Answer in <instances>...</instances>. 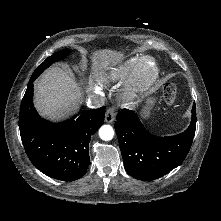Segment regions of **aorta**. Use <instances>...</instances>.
I'll use <instances>...</instances> for the list:
<instances>
[{"mask_svg": "<svg viewBox=\"0 0 221 221\" xmlns=\"http://www.w3.org/2000/svg\"><path fill=\"white\" fill-rule=\"evenodd\" d=\"M99 136L104 141H109L114 136V130L110 125H103L99 129Z\"/></svg>", "mask_w": 221, "mask_h": 221, "instance_id": "1", "label": "aorta"}]
</instances>
